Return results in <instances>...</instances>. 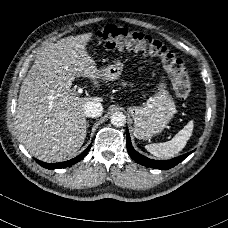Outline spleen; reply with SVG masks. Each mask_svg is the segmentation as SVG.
I'll list each match as a JSON object with an SVG mask.
<instances>
[{"mask_svg": "<svg viewBox=\"0 0 228 228\" xmlns=\"http://www.w3.org/2000/svg\"><path fill=\"white\" fill-rule=\"evenodd\" d=\"M193 128L194 123L191 120L170 141L158 144H148L145 148L155 157L161 159L173 158L186 146L187 141L192 136Z\"/></svg>", "mask_w": 228, "mask_h": 228, "instance_id": "3e777b00", "label": "spleen"}]
</instances>
